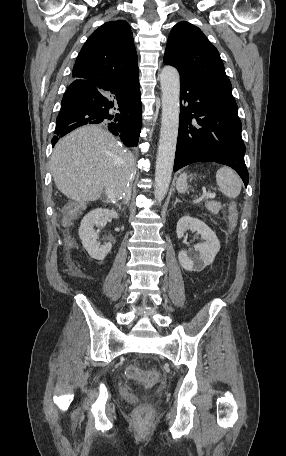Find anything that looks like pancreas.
<instances>
[{"label": "pancreas", "instance_id": "cf45deb5", "mask_svg": "<svg viewBox=\"0 0 286 456\" xmlns=\"http://www.w3.org/2000/svg\"><path fill=\"white\" fill-rule=\"evenodd\" d=\"M205 207L213 214H218L222 208L221 204L216 201L206 202Z\"/></svg>", "mask_w": 286, "mask_h": 456}]
</instances>
